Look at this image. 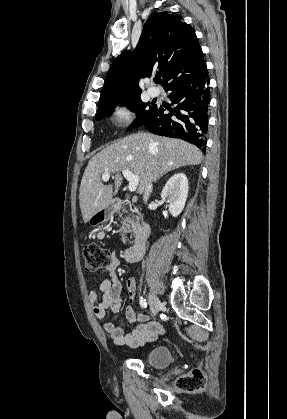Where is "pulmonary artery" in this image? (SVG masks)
Masks as SVG:
<instances>
[{
	"instance_id": "1",
	"label": "pulmonary artery",
	"mask_w": 287,
	"mask_h": 419,
	"mask_svg": "<svg viewBox=\"0 0 287 419\" xmlns=\"http://www.w3.org/2000/svg\"><path fill=\"white\" fill-rule=\"evenodd\" d=\"M148 94L150 97H156L159 94V91L154 87H149Z\"/></svg>"
}]
</instances>
